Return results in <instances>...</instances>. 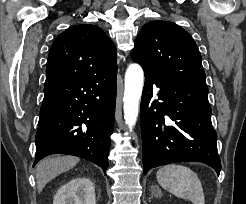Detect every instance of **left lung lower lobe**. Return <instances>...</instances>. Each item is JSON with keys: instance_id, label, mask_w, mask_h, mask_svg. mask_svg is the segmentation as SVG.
Returning <instances> with one entry per match:
<instances>
[{"instance_id": "left-lung-lower-lobe-1", "label": "left lung lower lobe", "mask_w": 246, "mask_h": 204, "mask_svg": "<svg viewBox=\"0 0 246 204\" xmlns=\"http://www.w3.org/2000/svg\"><path fill=\"white\" fill-rule=\"evenodd\" d=\"M153 86L159 88L157 93ZM211 112L207 85L145 74L141 98L144 174L153 167L194 161L211 166L219 175Z\"/></svg>"}]
</instances>
